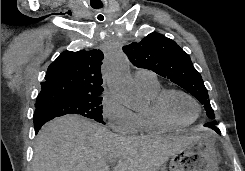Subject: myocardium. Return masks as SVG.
Returning a JSON list of instances; mask_svg holds the SVG:
<instances>
[{
	"mask_svg": "<svg viewBox=\"0 0 245 171\" xmlns=\"http://www.w3.org/2000/svg\"><path fill=\"white\" fill-rule=\"evenodd\" d=\"M172 94H180L188 98L195 106L196 108V116L195 118L187 123H178L174 121L168 114L166 103L167 99ZM151 108L155 115V117L164 125L170 127V128H186L191 125H193L200 117L201 115V107L198 101L193 97L191 94L187 93L184 90L178 89V88H167L162 89L153 99L151 102Z\"/></svg>",
	"mask_w": 245,
	"mask_h": 171,
	"instance_id": "1",
	"label": "myocardium"
}]
</instances>
